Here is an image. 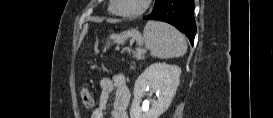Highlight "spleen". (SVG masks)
<instances>
[{
    "label": "spleen",
    "instance_id": "obj_1",
    "mask_svg": "<svg viewBox=\"0 0 273 118\" xmlns=\"http://www.w3.org/2000/svg\"><path fill=\"white\" fill-rule=\"evenodd\" d=\"M130 37L136 40L139 47L144 45L146 49L151 50L152 56L161 59L182 56L187 51V43L182 34L174 27L162 22L148 21L143 34L136 29H131L120 35L110 36L118 44H124Z\"/></svg>",
    "mask_w": 273,
    "mask_h": 118
}]
</instances>
